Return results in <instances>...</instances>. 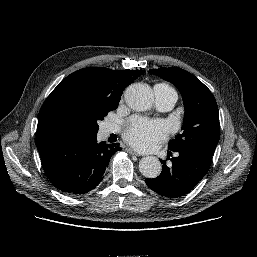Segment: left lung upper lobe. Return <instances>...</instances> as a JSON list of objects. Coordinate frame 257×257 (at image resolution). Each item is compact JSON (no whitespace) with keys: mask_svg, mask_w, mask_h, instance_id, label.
<instances>
[{"mask_svg":"<svg viewBox=\"0 0 257 257\" xmlns=\"http://www.w3.org/2000/svg\"><path fill=\"white\" fill-rule=\"evenodd\" d=\"M149 71L173 83L184 102L183 132L169 142L168 149L175 151L199 148L214 154L220 132L218 106L211 91L195 76L181 68Z\"/></svg>","mask_w":257,"mask_h":257,"instance_id":"obj_1","label":"left lung upper lobe"}]
</instances>
